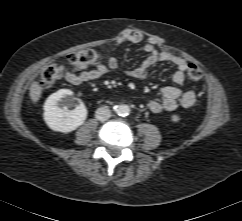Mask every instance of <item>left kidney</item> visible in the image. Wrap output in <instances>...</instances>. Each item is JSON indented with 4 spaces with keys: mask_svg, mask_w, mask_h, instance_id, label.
Listing matches in <instances>:
<instances>
[{
    "mask_svg": "<svg viewBox=\"0 0 242 221\" xmlns=\"http://www.w3.org/2000/svg\"><path fill=\"white\" fill-rule=\"evenodd\" d=\"M180 120V118L177 115H173L172 116V121L173 122H178Z\"/></svg>",
    "mask_w": 242,
    "mask_h": 221,
    "instance_id": "1",
    "label": "left kidney"
}]
</instances>
